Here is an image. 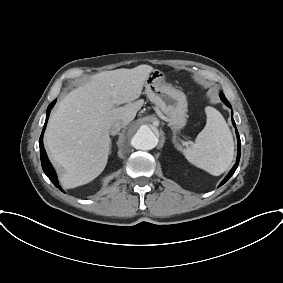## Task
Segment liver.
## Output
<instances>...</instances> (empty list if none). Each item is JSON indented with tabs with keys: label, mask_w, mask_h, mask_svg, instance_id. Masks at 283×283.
I'll list each match as a JSON object with an SVG mask.
<instances>
[{
	"label": "liver",
	"mask_w": 283,
	"mask_h": 283,
	"mask_svg": "<svg viewBox=\"0 0 283 283\" xmlns=\"http://www.w3.org/2000/svg\"><path fill=\"white\" fill-rule=\"evenodd\" d=\"M152 71L149 65H139L101 72L59 102L44 142L62 171L64 188L87 184L102 173L110 153L109 129L117 121L127 125L135 118L143 106V100L137 99Z\"/></svg>",
	"instance_id": "liver-1"
}]
</instances>
